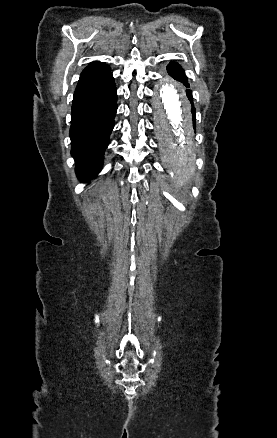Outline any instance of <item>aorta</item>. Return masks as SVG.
I'll use <instances>...</instances> for the list:
<instances>
[{"mask_svg": "<svg viewBox=\"0 0 277 438\" xmlns=\"http://www.w3.org/2000/svg\"><path fill=\"white\" fill-rule=\"evenodd\" d=\"M156 92V127L165 163L175 183L185 186L195 173L194 156L190 152L192 129L188 103L168 79L157 84Z\"/></svg>", "mask_w": 277, "mask_h": 438, "instance_id": "762f6f07", "label": "aorta"}]
</instances>
